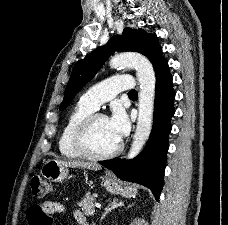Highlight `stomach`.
<instances>
[{
    "mask_svg": "<svg viewBox=\"0 0 228 225\" xmlns=\"http://www.w3.org/2000/svg\"><path fill=\"white\" fill-rule=\"evenodd\" d=\"M41 175L48 181H52V183H63L69 175L68 165H64L56 159H49V161H45L41 169ZM102 187H105L111 195H122V197H134L136 195L135 187H122L117 179L111 177V175H107L102 179Z\"/></svg>",
    "mask_w": 228,
    "mask_h": 225,
    "instance_id": "obj_1",
    "label": "stomach"
}]
</instances>
